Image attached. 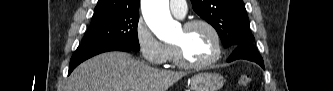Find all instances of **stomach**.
Here are the masks:
<instances>
[{"label": "stomach", "instance_id": "1", "mask_svg": "<svg viewBox=\"0 0 333 91\" xmlns=\"http://www.w3.org/2000/svg\"><path fill=\"white\" fill-rule=\"evenodd\" d=\"M225 79L214 72H204L193 76L190 80L192 91H219Z\"/></svg>", "mask_w": 333, "mask_h": 91}]
</instances>
